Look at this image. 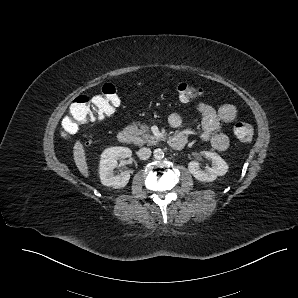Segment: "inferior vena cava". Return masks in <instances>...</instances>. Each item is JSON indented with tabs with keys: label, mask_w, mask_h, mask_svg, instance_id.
I'll list each match as a JSON object with an SVG mask.
<instances>
[{
	"label": "inferior vena cava",
	"mask_w": 298,
	"mask_h": 298,
	"mask_svg": "<svg viewBox=\"0 0 298 298\" xmlns=\"http://www.w3.org/2000/svg\"><path fill=\"white\" fill-rule=\"evenodd\" d=\"M152 152H151V149L148 148V147H143V148H140L139 151H138V157L141 159V160H147L149 159V157L151 156Z\"/></svg>",
	"instance_id": "obj_1"
}]
</instances>
